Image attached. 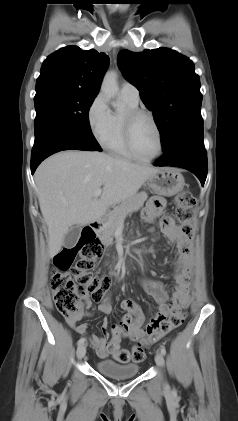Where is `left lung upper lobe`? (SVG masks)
Returning a JSON list of instances; mask_svg holds the SVG:
<instances>
[{
	"instance_id": "1",
	"label": "left lung upper lobe",
	"mask_w": 238,
	"mask_h": 421,
	"mask_svg": "<svg viewBox=\"0 0 238 421\" xmlns=\"http://www.w3.org/2000/svg\"><path fill=\"white\" fill-rule=\"evenodd\" d=\"M118 65L153 111L164 152L185 132L203 126L200 80L191 60L168 48L122 50Z\"/></svg>"
}]
</instances>
